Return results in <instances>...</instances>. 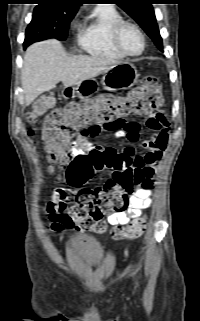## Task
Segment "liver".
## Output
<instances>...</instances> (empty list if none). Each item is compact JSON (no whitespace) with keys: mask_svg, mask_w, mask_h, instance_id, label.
Instances as JSON below:
<instances>
[{"mask_svg":"<svg viewBox=\"0 0 200 321\" xmlns=\"http://www.w3.org/2000/svg\"><path fill=\"white\" fill-rule=\"evenodd\" d=\"M120 62L104 56L69 57L59 41L47 40L28 47L21 73L26 105L60 81L65 87L92 79Z\"/></svg>","mask_w":200,"mask_h":321,"instance_id":"1","label":"liver"}]
</instances>
